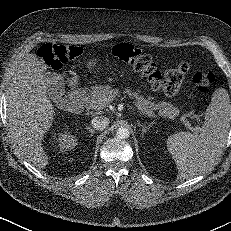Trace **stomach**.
<instances>
[{
	"label": "stomach",
	"instance_id": "0dacf381",
	"mask_svg": "<svg viewBox=\"0 0 231 231\" xmlns=\"http://www.w3.org/2000/svg\"><path fill=\"white\" fill-rule=\"evenodd\" d=\"M96 63H97V59L89 60L88 63H87V68L91 69V68L96 67ZM75 82H76V79H72L71 83L73 84Z\"/></svg>",
	"mask_w": 231,
	"mask_h": 231
}]
</instances>
